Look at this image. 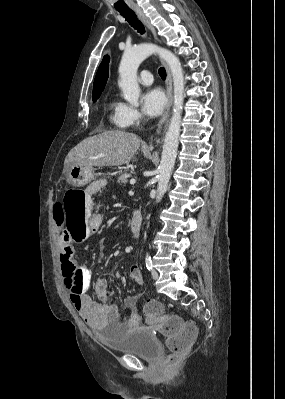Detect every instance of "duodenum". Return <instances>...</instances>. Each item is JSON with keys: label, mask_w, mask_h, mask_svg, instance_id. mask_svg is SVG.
I'll use <instances>...</instances> for the list:
<instances>
[{"label": "duodenum", "mask_w": 285, "mask_h": 399, "mask_svg": "<svg viewBox=\"0 0 285 399\" xmlns=\"http://www.w3.org/2000/svg\"><path fill=\"white\" fill-rule=\"evenodd\" d=\"M133 237L137 240L140 237L142 229V214L140 210H135L130 223Z\"/></svg>", "instance_id": "obj_1"}]
</instances>
